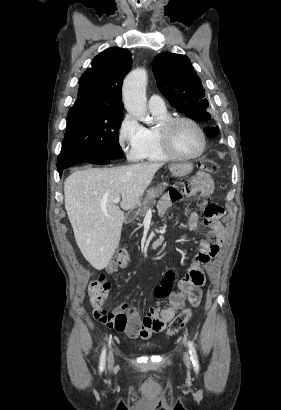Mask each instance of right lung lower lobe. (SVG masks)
I'll return each mask as SVG.
<instances>
[{
  "label": "right lung lower lobe",
  "mask_w": 281,
  "mask_h": 410,
  "mask_svg": "<svg viewBox=\"0 0 281 410\" xmlns=\"http://www.w3.org/2000/svg\"><path fill=\"white\" fill-rule=\"evenodd\" d=\"M110 161L111 160H77V161H73V162L67 164L66 166H64L63 168H61L58 171H59V175L61 176L64 169L69 168V167H71L75 164L81 163V162H88V163H91V164H105V163H108Z\"/></svg>",
  "instance_id": "obj_1"
}]
</instances>
